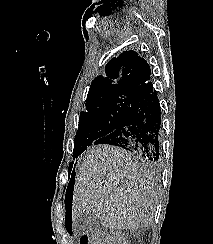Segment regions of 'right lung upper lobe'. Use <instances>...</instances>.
Masks as SVG:
<instances>
[{
  "instance_id": "cb5924a9",
  "label": "right lung upper lobe",
  "mask_w": 213,
  "mask_h": 244,
  "mask_svg": "<svg viewBox=\"0 0 213 244\" xmlns=\"http://www.w3.org/2000/svg\"><path fill=\"white\" fill-rule=\"evenodd\" d=\"M105 73V75H99L93 80L86 104L110 95L130 94L136 96L150 83L149 64L132 50L123 52L118 58H112L105 67Z\"/></svg>"
}]
</instances>
